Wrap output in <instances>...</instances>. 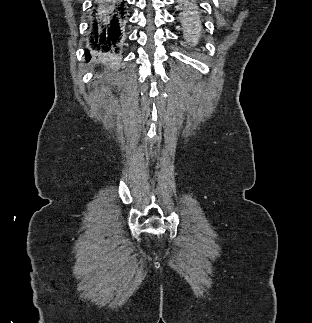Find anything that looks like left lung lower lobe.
<instances>
[{
    "label": "left lung lower lobe",
    "instance_id": "1",
    "mask_svg": "<svg viewBox=\"0 0 312 323\" xmlns=\"http://www.w3.org/2000/svg\"><path fill=\"white\" fill-rule=\"evenodd\" d=\"M197 5L194 2H183L180 3L181 20L179 24L183 27V34L185 41L188 43V47L193 51H197L202 46V34L204 25L197 18L196 11Z\"/></svg>",
    "mask_w": 312,
    "mask_h": 323
}]
</instances>
